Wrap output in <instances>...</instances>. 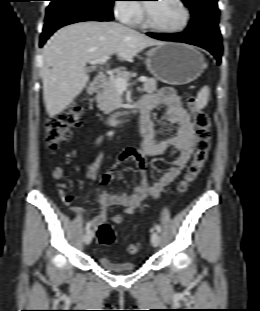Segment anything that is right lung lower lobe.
<instances>
[{
	"label": "right lung lower lobe",
	"instance_id": "1",
	"mask_svg": "<svg viewBox=\"0 0 260 311\" xmlns=\"http://www.w3.org/2000/svg\"><path fill=\"white\" fill-rule=\"evenodd\" d=\"M112 14L97 11L71 0H54L46 12L45 25L41 34L40 47L62 26L82 21H111Z\"/></svg>",
	"mask_w": 260,
	"mask_h": 311
}]
</instances>
